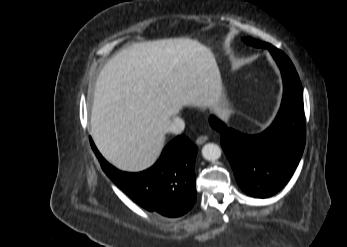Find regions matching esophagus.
<instances>
[{"instance_id":"esophagus-1","label":"esophagus","mask_w":347,"mask_h":247,"mask_svg":"<svg viewBox=\"0 0 347 247\" xmlns=\"http://www.w3.org/2000/svg\"><path fill=\"white\" fill-rule=\"evenodd\" d=\"M208 140V137L205 135H202L196 139V144L197 145H202Z\"/></svg>"}]
</instances>
